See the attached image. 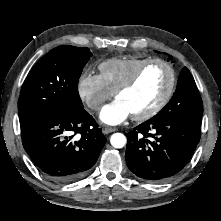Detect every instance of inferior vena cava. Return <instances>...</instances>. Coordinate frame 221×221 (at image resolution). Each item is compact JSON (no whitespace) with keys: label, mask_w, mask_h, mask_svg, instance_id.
<instances>
[{"label":"inferior vena cava","mask_w":221,"mask_h":221,"mask_svg":"<svg viewBox=\"0 0 221 221\" xmlns=\"http://www.w3.org/2000/svg\"><path fill=\"white\" fill-rule=\"evenodd\" d=\"M99 107H100L99 105H96V106H95V108H99Z\"/></svg>","instance_id":"obj_1"}]
</instances>
